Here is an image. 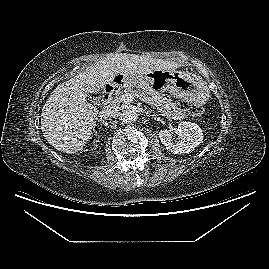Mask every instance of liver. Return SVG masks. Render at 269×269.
<instances>
[{
    "label": "liver",
    "instance_id": "liver-1",
    "mask_svg": "<svg viewBox=\"0 0 269 269\" xmlns=\"http://www.w3.org/2000/svg\"><path fill=\"white\" fill-rule=\"evenodd\" d=\"M180 63L146 55L116 53L98 61L53 90L43 106L41 130L56 150L69 154L83 150L95 129L99 110L88 103L121 73L134 76L153 70H176Z\"/></svg>",
    "mask_w": 269,
    "mask_h": 269
}]
</instances>
